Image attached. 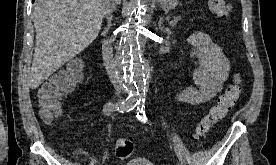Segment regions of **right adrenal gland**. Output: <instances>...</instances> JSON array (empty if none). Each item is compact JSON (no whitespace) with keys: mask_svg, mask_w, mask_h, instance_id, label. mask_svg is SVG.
I'll return each instance as SVG.
<instances>
[{"mask_svg":"<svg viewBox=\"0 0 276 165\" xmlns=\"http://www.w3.org/2000/svg\"><path fill=\"white\" fill-rule=\"evenodd\" d=\"M110 25H111V20H108V24H107V27H105L104 32L108 31Z\"/></svg>","mask_w":276,"mask_h":165,"instance_id":"2a0ac1e0","label":"right adrenal gland"}]
</instances>
